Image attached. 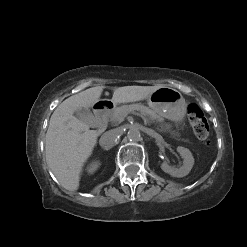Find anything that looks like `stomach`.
<instances>
[{"label":"stomach","mask_w":247,"mask_h":247,"mask_svg":"<svg viewBox=\"0 0 247 247\" xmlns=\"http://www.w3.org/2000/svg\"><path fill=\"white\" fill-rule=\"evenodd\" d=\"M148 105L160 116L182 123L187 113V103L182 94L171 87L163 86L148 98Z\"/></svg>","instance_id":"0dacf381"}]
</instances>
